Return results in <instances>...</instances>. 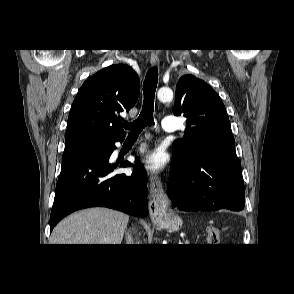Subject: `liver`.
<instances>
[{
    "label": "liver",
    "mask_w": 294,
    "mask_h": 294,
    "mask_svg": "<svg viewBox=\"0 0 294 294\" xmlns=\"http://www.w3.org/2000/svg\"><path fill=\"white\" fill-rule=\"evenodd\" d=\"M129 216L107 208L75 212L53 230L50 244H121Z\"/></svg>",
    "instance_id": "6515ba94"
}]
</instances>
